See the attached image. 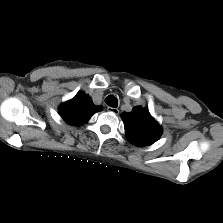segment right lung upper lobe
Wrapping results in <instances>:
<instances>
[{"mask_svg": "<svg viewBox=\"0 0 223 223\" xmlns=\"http://www.w3.org/2000/svg\"><path fill=\"white\" fill-rule=\"evenodd\" d=\"M102 108L95 106L91 98L84 92H79L72 100L62 104L59 108L60 115L71 125H82Z\"/></svg>", "mask_w": 223, "mask_h": 223, "instance_id": "1", "label": "right lung upper lobe"}]
</instances>
